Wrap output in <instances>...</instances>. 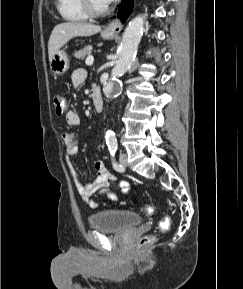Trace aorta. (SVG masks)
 I'll use <instances>...</instances> for the list:
<instances>
[{"mask_svg": "<svg viewBox=\"0 0 243 289\" xmlns=\"http://www.w3.org/2000/svg\"><path fill=\"white\" fill-rule=\"evenodd\" d=\"M143 27L144 17L142 16L135 17L126 27L122 37L119 58L111 72L112 78L104 88L105 94L109 95L113 92L117 78L122 76L133 64L143 35ZM106 143L109 151L115 152L117 150V139L111 130L106 133Z\"/></svg>", "mask_w": 243, "mask_h": 289, "instance_id": "obj_1", "label": "aorta"}]
</instances>
